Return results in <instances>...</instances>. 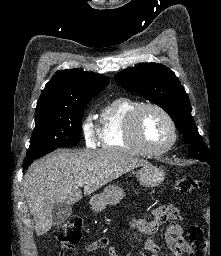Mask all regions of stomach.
I'll return each mask as SVG.
<instances>
[{
    "label": "stomach",
    "mask_w": 221,
    "mask_h": 256,
    "mask_svg": "<svg viewBox=\"0 0 221 256\" xmlns=\"http://www.w3.org/2000/svg\"><path fill=\"white\" fill-rule=\"evenodd\" d=\"M136 177L141 185L156 187L164 181L165 172L163 169L148 163L136 172ZM124 195L125 193L121 187L109 185L102 193L96 194L90 199L91 208L96 212L102 211L107 205L119 203Z\"/></svg>",
    "instance_id": "1"
}]
</instances>
